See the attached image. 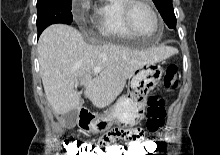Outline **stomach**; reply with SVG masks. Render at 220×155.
<instances>
[{
	"mask_svg": "<svg viewBox=\"0 0 220 155\" xmlns=\"http://www.w3.org/2000/svg\"><path fill=\"white\" fill-rule=\"evenodd\" d=\"M164 73L160 64H147L131 76L127 95L122 96L113 109L92 119L83 130L102 133L113 124L135 126L144 118L147 97L158 85Z\"/></svg>",
	"mask_w": 220,
	"mask_h": 155,
	"instance_id": "stomach-1",
	"label": "stomach"
}]
</instances>
